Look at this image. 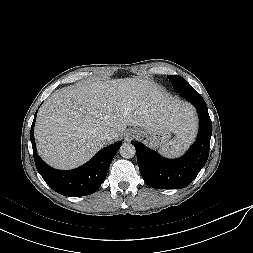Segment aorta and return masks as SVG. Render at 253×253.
Masks as SVG:
<instances>
[{"label":"aorta","instance_id":"1","mask_svg":"<svg viewBox=\"0 0 253 253\" xmlns=\"http://www.w3.org/2000/svg\"><path fill=\"white\" fill-rule=\"evenodd\" d=\"M119 153L123 158L129 159L134 157L136 150L133 144L123 143L119 149Z\"/></svg>","mask_w":253,"mask_h":253}]
</instances>
